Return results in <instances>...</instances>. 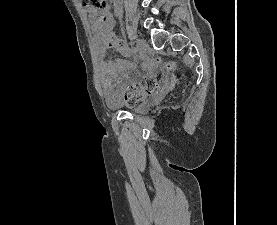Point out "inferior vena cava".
<instances>
[{"label":"inferior vena cava","mask_w":277,"mask_h":225,"mask_svg":"<svg viewBox=\"0 0 277 225\" xmlns=\"http://www.w3.org/2000/svg\"><path fill=\"white\" fill-rule=\"evenodd\" d=\"M114 5H115V7H120L121 0H114Z\"/></svg>","instance_id":"inferior-vena-cava-1"}]
</instances>
